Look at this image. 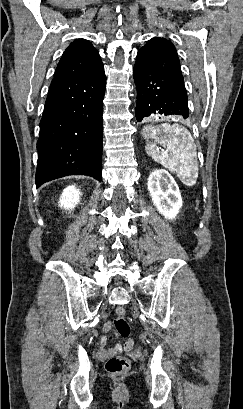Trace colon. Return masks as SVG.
Wrapping results in <instances>:
<instances>
[{
    "label": "colon",
    "instance_id": "1",
    "mask_svg": "<svg viewBox=\"0 0 243 409\" xmlns=\"http://www.w3.org/2000/svg\"><path fill=\"white\" fill-rule=\"evenodd\" d=\"M126 311L119 306L115 309V319L113 320V328L116 335L126 340L125 345L132 346L130 337V326L125 317ZM130 367V361L124 356H112L106 362V370L115 375L125 373Z\"/></svg>",
    "mask_w": 243,
    "mask_h": 409
}]
</instances>
